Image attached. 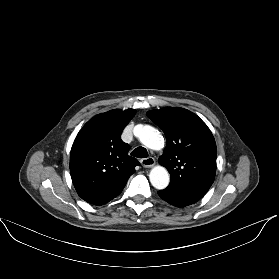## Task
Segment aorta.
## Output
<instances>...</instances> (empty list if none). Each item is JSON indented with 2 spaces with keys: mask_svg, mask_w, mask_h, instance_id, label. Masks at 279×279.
<instances>
[{
  "mask_svg": "<svg viewBox=\"0 0 279 279\" xmlns=\"http://www.w3.org/2000/svg\"><path fill=\"white\" fill-rule=\"evenodd\" d=\"M140 142L153 150H160L163 147V137L155 128L145 125L140 127L138 134ZM152 186L156 189H165L170 181L168 171L162 166H155L149 174Z\"/></svg>",
  "mask_w": 279,
  "mask_h": 279,
  "instance_id": "obj_1",
  "label": "aorta"
}]
</instances>
